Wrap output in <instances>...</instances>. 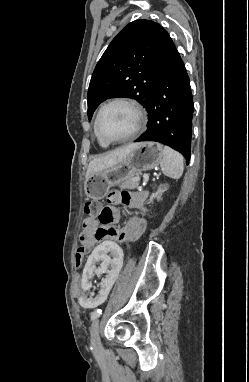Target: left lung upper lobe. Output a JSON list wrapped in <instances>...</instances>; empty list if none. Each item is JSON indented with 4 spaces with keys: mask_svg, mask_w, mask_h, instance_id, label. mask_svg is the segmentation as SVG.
Returning a JSON list of instances; mask_svg holds the SVG:
<instances>
[{
    "mask_svg": "<svg viewBox=\"0 0 249 382\" xmlns=\"http://www.w3.org/2000/svg\"><path fill=\"white\" fill-rule=\"evenodd\" d=\"M176 47L167 31L150 20L129 23L97 63L88 90V118L114 96L136 99L146 109Z\"/></svg>",
    "mask_w": 249,
    "mask_h": 382,
    "instance_id": "left-lung-upper-lobe-1",
    "label": "left lung upper lobe"
}]
</instances>
